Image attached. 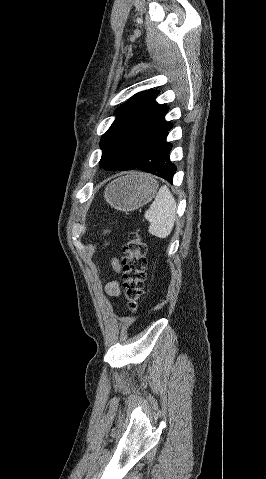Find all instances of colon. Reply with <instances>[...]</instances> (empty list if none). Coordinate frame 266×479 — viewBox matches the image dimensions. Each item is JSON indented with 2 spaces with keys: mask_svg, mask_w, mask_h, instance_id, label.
I'll list each match as a JSON object with an SVG mask.
<instances>
[{
  "mask_svg": "<svg viewBox=\"0 0 266 479\" xmlns=\"http://www.w3.org/2000/svg\"><path fill=\"white\" fill-rule=\"evenodd\" d=\"M123 294L127 305L135 310L142 301L146 279L147 246L139 233H131L122 247Z\"/></svg>",
  "mask_w": 266,
  "mask_h": 479,
  "instance_id": "colon-1",
  "label": "colon"
}]
</instances>
